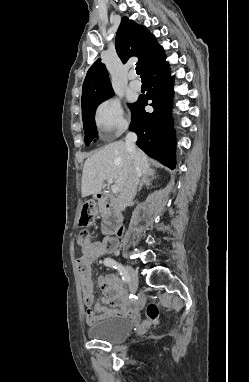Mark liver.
Here are the masks:
<instances>
[{
    "label": "liver",
    "mask_w": 249,
    "mask_h": 382,
    "mask_svg": "<svg viewBox=\"0 0 249 382\" xmlns=\"http://www.w3.org/2000/svg\"><path fill=\"white\" fill-rule=\"evenodd\" d=\"M137 151V163L141 175L149 173L147 155L140 149ZM130 153L123 141H116L104 146L86 159L83 167L81 192L82 197L101 192L104 181H113L121 192L131 167Z\"/></svg>",
    "instance_id": "1"
}]
</instances>
